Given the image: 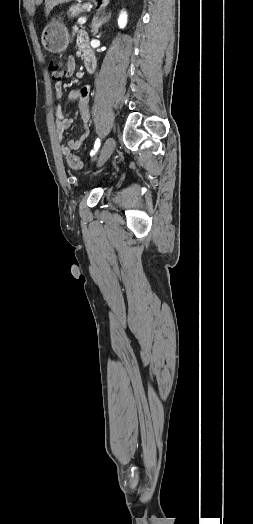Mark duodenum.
Masks as SVG:
<instances>
[{"label":"duodenum","instance_id":"410a0bca","mask_svg":"<svg viewBox=\"0 0 253 524\" xmlns=\"http://www.w3.org/2000/svg\"><path fill=\"white\" fill-rule=\"evenodd\" d=\"M86 67H87L88 71L94 72V67L92 65L87 64Z\"/></svg>","mask_w":253,"mask_h":524}]
</instances>
